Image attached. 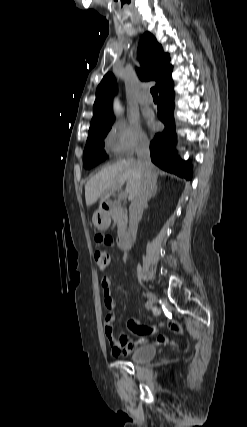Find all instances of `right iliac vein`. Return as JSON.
<instances>
[{
	"mask_svg": "<svg viewBox=\"0 0 247 427\" xmlns=\"http://www.w3.org/2000/svg\"><path fill=\"white\" fill-rule=\"evenodd\" d=\"M146 295H147V297L149 299V302L151 304H156L158 302V299H157L156 295L153 294L152 292H147Z\"/></svg>",
	"mask_w": 247,
	"mask_h": 427,
	"instance_id": "63e3f726",
	"label": "right iliac vein"
}]
</instances>
